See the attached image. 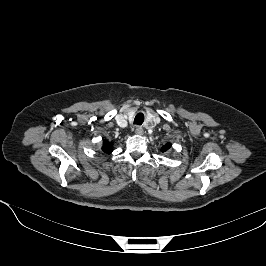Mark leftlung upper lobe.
<instances>
[{
    "label": "left lung upper lobe",
    "instance_id": "1",
    "mask_svg": "<svg viewBox=\"0 0 266 266\" xmlns=\"http://www.w3.org/2000/svg\"><path fill=\"white\" fill-rule=\"evenodd\" d=\"M170 147H171V144H170V143H167L166 145H164V146L161 148V151H162V152H166Z\"/></svg>",
    "mask_w": 266,
    "mask_h": 266
}]
</instances>
